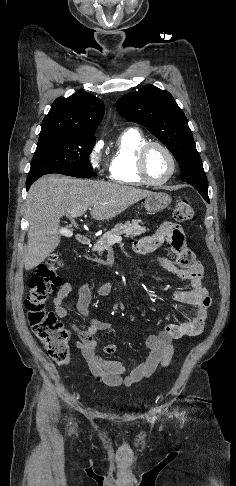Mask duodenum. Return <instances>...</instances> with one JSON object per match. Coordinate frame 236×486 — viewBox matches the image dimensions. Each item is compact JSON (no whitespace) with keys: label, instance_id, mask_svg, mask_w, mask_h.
Here are the masks:
<instances>
[{"label":"duodenum","instance_id":"duodenum-1","mask_svg":"<svg viewBox=\"0 0 236 486\" xmlns=\"http://www.w3.org/2000/svg\"><path fill=\"white\" fill-rule=\"evenodd\" d=\"M76 240L80 243V244H83V245H86L90 242L89 238L82 234V233H77L76 234Z\"/></svg>","mask_w":236,"mask_h":486}]
</instances>
